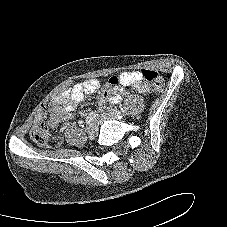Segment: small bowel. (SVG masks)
<instances>
[{
    "instance_id": "1",
    "label": "small bowel",
    "mask_w": 227,
    "mask_h": 227,
    "mask_svg": "<svg viewBox=\"0 0 227 227\" xmlns=\"http://www.w3.org/2000/svg\"><path fill=\"white\" fill-rule=\"evenodd\" d=\"M130 86L135 92L145 94L149 92V86L143 82L141 71H125L119 75V84L111 90L103 91L101 102L116 104L120 102L124 93V87ZM100 89V83L96 79H90L76 83L72 87L63 90L55 98V107L51 111L49 125L56 128L62 121L72 117V111L85 95L94 93ZM43 116L38 115V119Z\"/></svg>"
}]
</instances>
